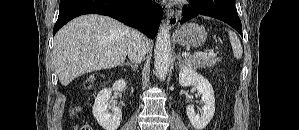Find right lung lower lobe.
Here are the masks:
<instances>
[{
    "label": "right lung lower lobe",
    "instance_id": "1",
    "mask_svg": "<svg viewBox=\"0 0 299 130\" xmlns=\"http://www.w3.org/2000/svg\"><path fill=\"white\" fill-rule=\"evenodd\" d=\"M83 14L110 16L153 39L163 17V10L151 0H60L53 35L68 21Z\"/></svg>",
    "mask_w": 299,
    "mask_h": 130
}]
</instances>
